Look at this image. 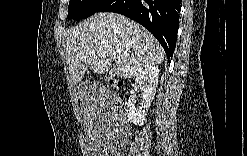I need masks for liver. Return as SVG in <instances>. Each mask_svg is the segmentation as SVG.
Masks as SVG:
<instances>
[{"mask_svg": "<svg viewBox=\"0 0 247 156\" xmlns=\"http://www.w3.org/2000/svg\"><path fill=\"white\" fill-rule=\"evenodd\" d=\"M66 59L71 80L80 82L88 67L94 73L110 70L132 78L146 66L164 61L165 53L155 37L138 23L116 13H97L65 33Z\"/></svg>", "mask_w": 247, "mask_h": 156, "instance_id": "liver-1", "label": "liver"}]
</instances>
